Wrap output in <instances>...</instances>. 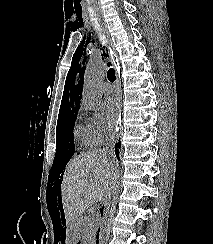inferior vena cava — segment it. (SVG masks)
<instances>
[{
    "label": "inferior vena cava",
    "instance_id": "inferior-vena-cava-1",
    "mask_svg": "<svg viewBox=\"0 0 213 244\" xmlns=\"http://www.w3.org/2000/svg\"><path fill=\"white\" fill-rule=\"evenodd\" d=\"M114 172L116 173L117 171L115 170ZM112 184H113V185H116V184H117V181H116V180H113V181H112Z\"/></svg>",
    "mask_w": 213,
    "mask_h": 244
}]
</instances>
